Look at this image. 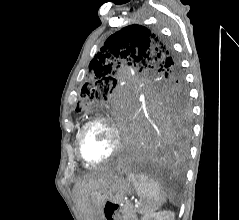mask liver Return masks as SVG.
<instances>
[{
    "label": "liver",
    "instance_id": "obj_1",
    "mask_svg": "<svg viewBox=\"0 0 239 220\" xmlns=\"http://www.w3.org/2000/svg\"><path fill=\"white\" fill-rule=\"evenodd\" d=\"M116 175L113 172L104 173L99 176H88L76 183L74 193L78 206L83 212H89V194L92 190L105 186Z\"/></svg>",
    "mask_w": 239,
    "mask_h": 220
}]
</instances>
